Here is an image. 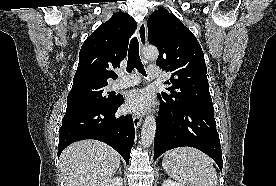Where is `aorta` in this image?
<instances>
[{
	"mask_svg": "<svg viewBox=\"0 0 276 186\" xmlns=\"http://www.w3.org/2000/svg\"><path fill=\"white\" fill-rule=\"evenodd\" d=\"M142 56L147 60L155 61L159 57V51L156 47L148 46L144 47L142 50ZM155 131H156V120L153 115H148L145 118V121L142 126L141 131V144L144 147H149L155 137Z\"/></svg>",
	"mask_w": 276,
	"mask_h": 186,
	"instance_id": "762f6f07",
	"label": "aorta"
}]
</instances>
